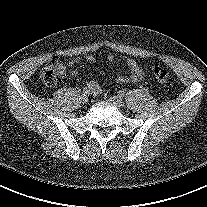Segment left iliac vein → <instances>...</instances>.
Masks as SVG:
<instances>
[{"label": "left iliac vein", "mask_w": 207, "mask_h": 207, "mask_svg": "<svg viewBox=\"0 0 207 207\" xmlns=\"http://www.w3.org/2000/svg\"><path fill=\"white\" fill-rule=\"evenodd\" d=\"M109 102H111L112 104L118 106V107H122L124 105L123 100L118 97V96H111L109 97Z\"/></svg>", "instance_id": "left-iliac-vein-1"}]
</instances>
